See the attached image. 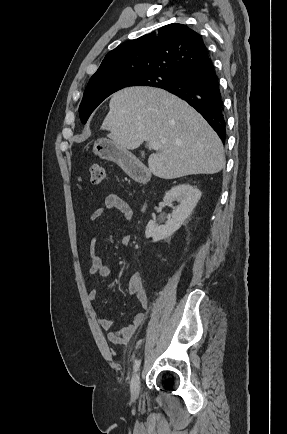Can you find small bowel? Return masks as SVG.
Masks as SVG:
<instances>
[{
  "label": "small bowel",
  "mask_w": 287,
  "mask_h": 434,
  "mask_svg": "<svg viewBox=\"0 0 287 434\" xmlns=\"http://www.w3.org/2000/svg\"><path fill=\"white\" fill-rule=\"evenodd\" d=\"M111 209L119 211L128 223L131 222L133 218L132 208L125 200L114 194L108 195L106 197L104 205L98 207L92 213L91 220H99L108 210ZM121 242L124 247H128L131 242V234L126 233L125 235H123ZM94 245L95 239L94 237H92L89 241V257L91 262V265L89 267V274L93 276L98 275L104 278L113 276V270L110 267L106 266L103 263L101 257L95 253ZM129 294L131 297L135 298L139 302L142 308V311L138 312L134 316L131 324L124 328H121L120 330H114L112 320L108 318L98 319L99 326L107 332L108 340L113 343H128L132 336L142 327L145 322V311L148 306V300L142 283V276L138 271L133 272L130 276ZM97 297L98 293L96 290H91L89 292L88 298L91 302L96 301Z\"/></svg>",
  "instance_id": "1"
}]
</instances>
